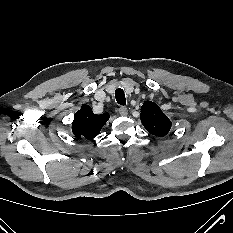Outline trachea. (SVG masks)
<instances>
[{
    "label": "trachea",
    "instance_id": "trachea-1",
    "mask_svg": "<svg viewBox=\"0 0 233 233\" xmlns=\"http://www.w3.org/2000/svg\"><path fill=\"white\" fill-rule=\"evenodd\" d=\"M115 98L118 104L120 105L126 104L125 94L121 88L115 90Z\"/></svg>",
    "mask_w": 233,
    "mask_h": 233
}]
</instances>
